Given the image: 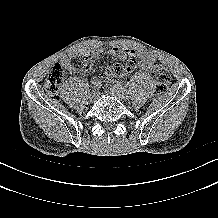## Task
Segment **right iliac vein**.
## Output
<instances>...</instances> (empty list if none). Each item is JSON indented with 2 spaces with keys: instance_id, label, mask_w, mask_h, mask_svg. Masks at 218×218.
I'll return each instance as SVG.
<instances>
[{
  "instance_id": "63e3f726",
  "label": "right iliac vein",
  "mask_w": 218,
  "mask_h": 218,
  "mask_svg": "<svg viewBox=\"0 0 218 218\" xmlns=\"http://www.w3.org/2000/svg\"><path fill=\"white\" fill-rule=\"evenodd\" d=\"M97 96H98V92H92L90 94V101L94 102L97 99Z\"/></svg>"
}]
</instances>
